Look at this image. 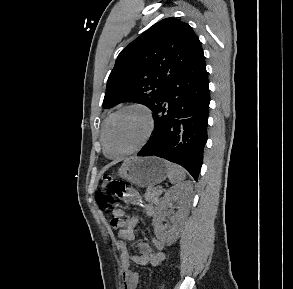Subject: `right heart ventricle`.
Returning a JSON list of instances; mask_svg holds the SVG:
<instances>
[{"label": "right heart ventricle", "instance_id": "1", "mask_svg": "<svg viewBox=\"0 0 293 289\" xmlns=\"http://www.w3.org/2000/svg\"><path fill=\"white\" fill-rule=\"evenodd\" d=\"M110 117V115L105 119L104 123H103V126L101 128V137H102V132H103V129H104V126H105V123L107 121V119Z\"/></svg>", "mask_w": 293, "mask_h": 289}]
</instances>
